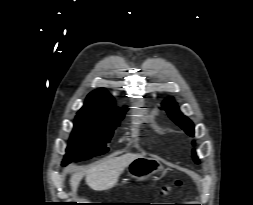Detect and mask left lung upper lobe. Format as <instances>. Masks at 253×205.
Listing matches in <instances>:
<instances>
[{
    "instance_id": "obj_1",
    "label": "left lung upper lobe",
    "mask_w": 253,
    "mask_h": 205,
    "mask_svg": "<svg viewBox=\"0 0 253 205\" xmlns=\"http://www.w3.org/2000/svg\"><path fill=\"white\" fill-rule=\"evenodd\" d=\"M162 107L167 111L169 117L179 125L188 135L194 136V125L193 123L185 117L180 111L177 104L174 102L172 97L167 98L163 103ZM194 161L199 163V160L193 152Z\"/></svg>"
}]
</instances>
